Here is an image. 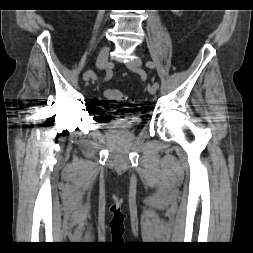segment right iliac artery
I'll return each mask as SVG.
<instances>
[{
  "label": "right iliac artery",
  "instance_id": "obj_1",
  "mask_svg": "<svg viewBox=\"0 0 253 253\" xmlns=\"http://www.w3.org/2000/svg\"><path fill=\"white\" fill-rule=\"evenodd\" d=\"M88 73L90 74V78L96 79L95 74H94L91 70H89ZM111 76H112L111 71H110V70H107L106 76H105L104 80H105V81L109 80V79L111 78Z\"/></svg>",
  "mask_w": 253,
  "mask_h": 253
}]
</instances>
